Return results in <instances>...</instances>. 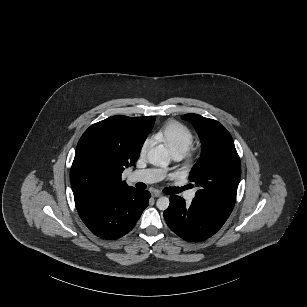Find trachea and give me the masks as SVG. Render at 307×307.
<instances>
[{
  "instance_id": "3493384b",
  "label": "trachea",
  "mask_w": 307,
  "mask_h": 307,
  "mask_svg": "<svg viewBox=\"0 0 307 307\" xmlns=\"http://www.w3.org/2000/svg\"><path fill=\"white\" fill-rule=\"evenodd\" d=\"M185 189H187V187H182V188H175L174 187L173 193H172L169 188H165L163 190V192L166 193V194H177V193H179V192H181L182 190H185Z\"/></svg>"
}]
</instances>
